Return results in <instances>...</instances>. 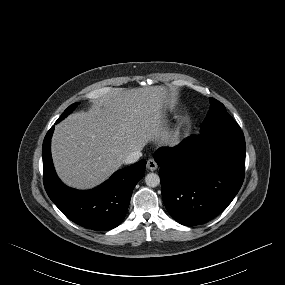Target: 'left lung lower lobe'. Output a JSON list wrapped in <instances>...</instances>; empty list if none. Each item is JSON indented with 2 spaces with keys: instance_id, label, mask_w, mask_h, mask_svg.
Listing matches in <instances>:
<instances>
[{
  "instance_id": "1",
  "label": "left lung lower lobe",
  "mask_w": 285,
  "mask_h": 285,
  "mask_svg": "<svg viewBox=\"0 0 285 285\" xmlns=\"http://www.w3.org/2000/svg\"><path fill=\"white\" fill-rule=\"evenodd\" d=\"M245 152L241 130L191 135L157 150L162 198L172 218L195 226L220 214L242 186Z\"/></svg>"
}]
</instances>
